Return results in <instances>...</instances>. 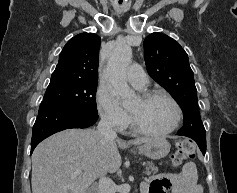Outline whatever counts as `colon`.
Returning <instances> with one entry per match:
<instances>
[{"label": "colon", "mask_w": 237, "mask_h": 193, "mask_svg": "<svg viewBox=\"0 0 237 193\" xmlns=\"http://www.w3.org/2000/svg\"><path fill=\"white\" fill-rule=\"evenodd\" d=\"M196 155V147L189 140H178L176 142V151L171 156V165L178 166L186 159H193Z\"/></svg>", "instance_id": "5ec220e1"}]
</instances>
